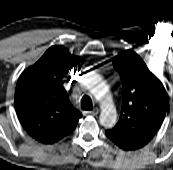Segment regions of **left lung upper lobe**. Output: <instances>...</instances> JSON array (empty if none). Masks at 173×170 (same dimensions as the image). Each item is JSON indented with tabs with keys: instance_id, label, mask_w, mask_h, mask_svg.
<instances>
[{
	"instance_id": "obj_1",
	"label": "left lung upper lobe",
	"mask_w": 173,
	"mask_h": 170,
	"mask_svg": "<svg viewBox=\"0 0 173 170\" xmlns=\"http://www.w3.org/2000/svg\"><path fill=\"white\" fill-rule=\"evenodd\" d=\"M124 87L121 114L107 137L125 151L144 147L155 136L164 120L168 95L161 81L132 50L113 59Z\"/></svg>"
}]
</instances>
